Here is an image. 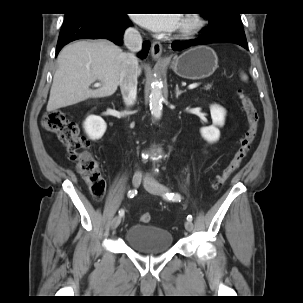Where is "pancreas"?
Returning <instances> with one entry per match:
<instances>
[{
	"mask_svg": "<svg viewBox=\"0 0 303 303\" xmlns=\"http://www.w3.org/2000/svg\"><path fill=\"white\" fill-rule=\"evenodd\" d=\"M211 88V84H207L206 86H205V89L206 90H209Z\"/></svg>",
	"mask_w": 303,
	"mask_h": 303,
	"instance_id": "cf45deb5",
	"label": "pancreas"
}]
</instances>
